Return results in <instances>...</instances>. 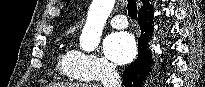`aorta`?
Returning a JSON list of instances; mask_svg holds the SVG:
<instances>
[{
    "instance_id": "aorta-1",
    "label": "aorta",
    "mask_w": 205,
    "mask_h": 87,
    "mask_svg": "<svg viewBox=\"0 0 205 87\" xmlns=\"http://www.w3.org/2000/svg\"><path fill=\"white\" fill-rule=\"evenodd\" d=\"M115 0H93L80 36L84 51H93L100 43L104 25L114 7Z\"/></svg>"
}]
</instances>
